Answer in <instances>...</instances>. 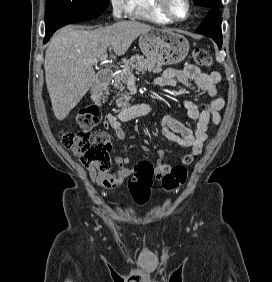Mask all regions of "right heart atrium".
Instances as JSON below:
<instances>
[{
  "mask_svg": "<svg viewBox=\"0 0 272 282\" xmlns=\"http://www.w3.org/2000/svg\"><path fill=\"white\" fill-rule=\"evenodd\" d=\"M109 7L115 20H121L132 15L134 10L130 0H109Z\"/></svg>",
  "mask_w": 272,
  "mask_h": 282,
  "instance_id": "1",
  "label": "right heart atrium"
}]
</instances>
